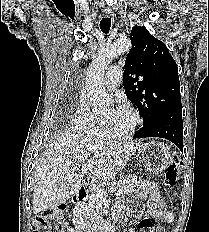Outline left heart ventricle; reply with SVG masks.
Here are the masks:
<instances>
[{"label":"left heart ventricle","mask_w":209,"mask_h":232,"mask_svg":"<svg viewBox=\"0 0 209 232\" xmlns=\"http://www.w3.org/2000/svg\"><path fill=\"white\" fill-rule=\"evenodd\" d=\"M103 117L107 120L110 131L116 134L127 132L133 123L132 116L126 110L110 108Z\"/></svg>","instance_id":"1"}]
</instances>
